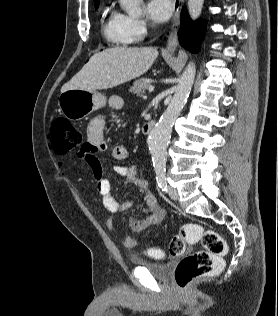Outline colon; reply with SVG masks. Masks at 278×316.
<instances>
[{"mask_svg": "<svg viewBox=\"0 0 278 316\" xmlns=\"http://www.w3.org/2000/svg\"><path fill=\"white\" fill-rule=\"evenodd\" d=\"M83 142L82 132L63 118L55 119L51 125V144L57 154L68 153ZM200 241L204 250L183 257L175 271V283L178 288L186 289L195 279L217 273L222 270L223 256L227 245L221 235L213 229L200 224L188 223L181 227L170 241L169 252L172 256L184 254L188 244ZM147 253L155 258L163 257V252L150 249Z\"/></svg>", "mask_w": 278, "mask_h": 316, "instance_id": "1", "label": "colon"}]
</instances>
